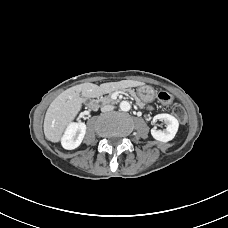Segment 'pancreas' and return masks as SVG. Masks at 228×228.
<instances>
[{"label": "pancreas", "mask_w": 228, "mask_h": 228, "mask_svg": "<svg viewBox=\"0 0 228 228\" xmlns=\"http://www.w3.org/2000/svg\"><path fill=\"white\" fill-rule=\"evenodd\" d=\"M124 91L128 92L131 96H133L135 99V103L137 104V106L141 109H144L145 108V103L142 102L139 98L136 97V94L135 92L132 90V89H125ZM113 90H111L108 95H106L105 97H101L100 98V101L103 103V104H114L116 103L115 100H113L111 97L113 96Z\"/></svg>", "instance_id": "1"}]
</instances>
